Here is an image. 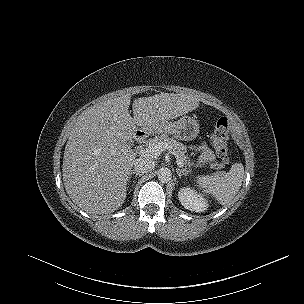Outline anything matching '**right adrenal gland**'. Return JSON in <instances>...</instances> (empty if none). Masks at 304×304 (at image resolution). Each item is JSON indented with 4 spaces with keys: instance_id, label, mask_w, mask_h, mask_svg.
Returning <instances> with one entry per match:
<instances>
[{
    "instance_id": "2a0ac1e0",
    "label": "right adrenal gland",
    "mask_w": 304,
    "mask_h": 304,
    "mask_svg": "<svg viewBox=\"0 0 304 304\" xmlns=\"http://www.w3.org/2000/svg\"><path fill=\"white\" fill-rule=\"evenodd\" d=\"M132 175H135V178H137L138 176H139V177L141 176L140 173H137V172H135V171H130L129 176H128V179H127L128 185H129V183H130V180H131V178H132ZM135 183H136V182L134 181L133 186L135 185ZM128 188H129V186H128ZM132 190H133V187H132V189H130L129 193H130Z\"/></svg>"
}]
</instances>
